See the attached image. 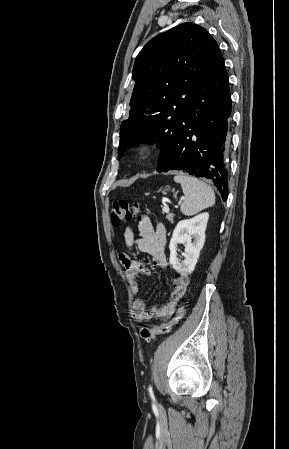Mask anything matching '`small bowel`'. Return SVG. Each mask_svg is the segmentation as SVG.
I'll return each mask as SVG.
<instances>
[{
    "instance_id": "1",
    "label": "small bowel",
    "mask_w": 289,
    "mask_h": 449,
    "mask_svg": "<svg viewBox=\"0 0 289 449\" xmlns=\"http://www.w3.org/2000/svg\"><path fill=\"white\" fill-rule=\"evenodd\" d=\"M138 230L140 237L136 238L132 228H128L124 233L125 252L119 255L120 263L124 268L125 275L131 287L139 290L138 278L140 276H150L151 269L144 263L130 257L134 248L151 256L153 266L166 268L168 266L166 248V231L162 224L154 225L147 216H142L138 220ZM173 290L169 300L160 306L146 309L142 299L134 302V318L137 322L149 321L153 318H169L175 311L178 302L182 299L189 285V278L180 275L173 279Z\"/></svg>"
}]
</instances>
